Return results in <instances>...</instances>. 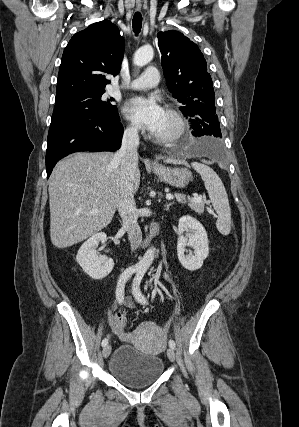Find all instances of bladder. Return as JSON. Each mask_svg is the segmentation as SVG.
Masks as SVG:
<instances>
[{
    "label": "bladder",
    "instance_id": "31cf9c89",
    "mask_svg": "<svg viewBox=\"0 0 299 427\" xmlns=\"http://www.w3.org/2000/svg\"><path fill=\"white\" fill-rule=\"evenodd\" d=\"M110 374L122 385L141 388L156 382L164 372L162 358L143 353L131 344H121L109 363Z\"/></svg>",
    "mask_w": 299,
    "mask_h": 427
}]
</instances>
